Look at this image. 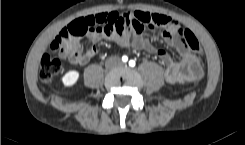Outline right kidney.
Returning a JSON list of instances; mask_svg holds the SVG:
<instances>
[{
    "label": "right kidney",
    "instance_id": "ca27d5eb",
    "mask_svg": "<svg viewBox=\"0 0 245 145\" xmlns=\"http://www.w3.org/2000/svg\"><path fill=\"white\" fill-rule=\"evenodd\" d=\"M79 78V72L76 70H71L67 72L63 77H62V83L66 87L73 86Z\"/></svg>",
    "mask_w": 245,
    "mask_h": 145
}]
</instances>
